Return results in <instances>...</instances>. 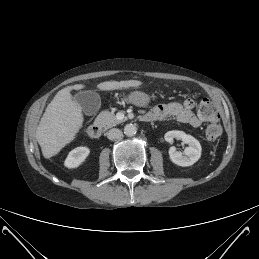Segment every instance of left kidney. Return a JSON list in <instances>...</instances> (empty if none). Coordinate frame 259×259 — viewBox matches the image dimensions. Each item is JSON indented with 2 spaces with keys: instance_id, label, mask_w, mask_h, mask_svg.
I'll list each match as a JSON object with an SVG mask.
<instances>
[{
  "instance_id": "left-kidney-1",
  "label": "left kidney",
  "mask_w": 259,
  "mask_h": 259,
  "mask_svg": "<svg viewBox=\"0 0 259 259\" xmlns=\"http://www.w3.org/2000/svg\"><path fill=\"white\" fill-rule=\"evenodd\" d=\"M164 137L168 143H173L174 139H177L188 144V147L185 148L183 154L176 151L175 147L169 149V157L174 164L187 167L193 165L200 159L202 148L199 141L193 136L188 135L183 131L172 130L168 131Z\"/></svg>"
}]
</instances>
